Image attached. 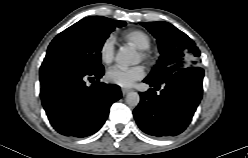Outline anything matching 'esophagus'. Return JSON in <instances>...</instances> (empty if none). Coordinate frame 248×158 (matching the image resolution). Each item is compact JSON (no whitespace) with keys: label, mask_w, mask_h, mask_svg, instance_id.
I'll use <instances>...</instances> for the list:
<instances>
[{"label":"esophagus","mask_w":248,"mask_h":158,"mask_svg":"<svg viewBox=\"0 0 248 158\" xmlns=\"http://www.w3.org/2000/svg\"><path fill=\"white\" fill-rule=\"evenodd\" d=\"M122 94L126 95L127 93H129L131 91V89L129 88H121Z\"/></svg>","instance_id":"1"}]
</instances>
